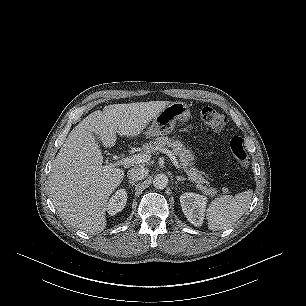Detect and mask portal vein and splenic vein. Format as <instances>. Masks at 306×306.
Wrapping results in <instances>:
<instances>
[{
	"label": "portal vein and splenic vein",
	"instance_id": "18ae733b",
	"mask_svg": "<svg viewBox=\"0 0 306 306\" xmlns=\"http://www.w3.org/2000/svg\"><path fill=\"white\" fill-rule=\"evenodd\" d=\"M162 152L165 153L170 158V160L172 161V163L177 169H180V165L176 157L170 150L164 149L162 150ZM150 159H151L150 153H139V154H135V155L123 158L119 160L115 165H130V164L145 163V162H148Z\"/></svg>",
	"mask_w": 306,
	"mask_h": 306
}]
</instances>
